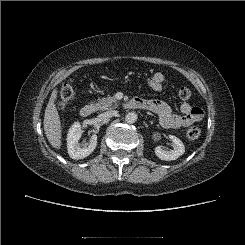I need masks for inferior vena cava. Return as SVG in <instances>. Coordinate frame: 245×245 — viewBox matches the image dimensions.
Returning a JSON list of instances; mask_svg holds the SVG:
<instances>
[{
    "label": "inferior vena cava",
    "instance_id": "inferior-vena-cava-1",
    "mask_svg": "<svg viewBox=\"0 0 245 245\" xmlns=\"http://www.w3.org/2000/svg\"><path fill=\"white\" fill-rule=\"evenodd\" d=\"M115 115H117V111H107V112L100 114L98 117L100 121H106L114 117Z\"/></svg>",
    "mask_w": 245,
    "mask_h": 245
}]
</instances>
